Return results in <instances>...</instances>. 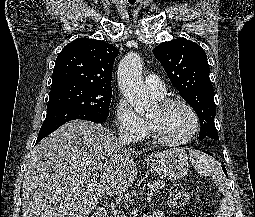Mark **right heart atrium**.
Segmentation results:
<instances>
[{
    "label": "right heart atrium",
    "instance_id": "right-heart-atrium-1",
    "mask_svg": "<svg viewBox=\"0 0 255 217\" xmlns=\"http://www.w3.org/2000/svg\"><path fill=\"white\" fill-rule=\"evenodd\" d=\"M115 120L118 131L130 140L141 139L147 134L146 121L124 99L115 105Z\"/></svg>",
    "mask_w": 255,
    "mask_h": 217
}]
</instances>
